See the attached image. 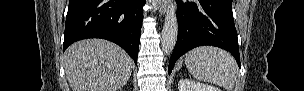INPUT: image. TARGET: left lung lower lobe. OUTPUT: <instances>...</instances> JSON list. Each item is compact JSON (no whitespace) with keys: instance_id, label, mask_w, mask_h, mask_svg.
<instances>
[{"instance_id":"1","label":"left lung lower lobe","mask_w":304,"mask_h":91,"mask_svg":"<svg viewBox=\"0 0 304 91\" xmlns=\"http://www.w3.org/2000/svg\"><path fill=\"white\" fill-rule=\"evenodd\" d=\"M178 1V38L171 55L168 73L177 59L187 51L203 45L225 49L241 66L232 0Z\"/></svg>"}]
</instances>
